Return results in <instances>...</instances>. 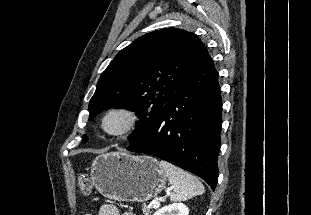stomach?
I'll return each instance as SVG.
<instances>
[{
  "label": "stomach",
  "mask_w": 311,
  "mask_h": 215,
  "mask_svg": "<svg viewBox=\"0 0 311 215\" xmlns=\"http://www.w3.org/2000/svg\"><path fill=\"white\" fill-rule=\"evenodd\" d=\"M91 178L102 196L125 202H146L157 196L166 184L165 172L155 158L122 152L96 157Z\"/></svg>",
  "instance_id": "0dacf381"
}]
</instances>
